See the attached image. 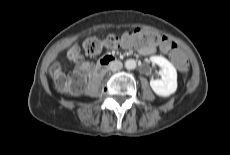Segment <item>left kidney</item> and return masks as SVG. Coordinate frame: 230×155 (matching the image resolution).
<instances>
[{
	"label": "left kidney",
	"mask_w": 230,
	"mask_h": 155,
	"mask_svg": "<svg viewBox=\"0 0 230 155\" xmlns=\"http://www.w3.org/2000/svg\"><path fill=\"white\" fill-rule=\"evenodd\" d=\"M152 63L161 68V79L151 80L150 86L158 96L168 97L177 90V71L175 67L162 56H151Z\"/></svg>",
	"instance_id": "obj_1"
}]
</instances>
